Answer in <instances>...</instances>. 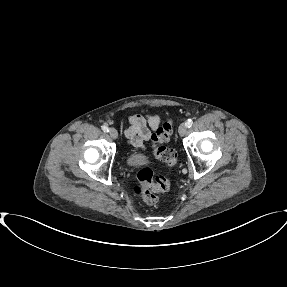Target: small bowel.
<instances>
[{
	"instance_id": "obj_1",
	"label": "small bowel",
	"mask_w": 287,
	"mask_h": 287,
	"mask_svg": "<svg viewBox=\"0 0 287 287\" xmlns=\"http://www.w3.org/2000/svg\"><path fill=\"white\" fill-rule=\"evenodd\" d=\"M128 128L125 131L126 137L133 148L139 150L144 148V142L151 138L152 131L160 125L157 116L132 115L128 118Z\"/></svg>"
}]
</instances>
